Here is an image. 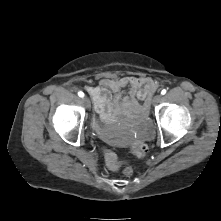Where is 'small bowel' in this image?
Returning a JSON list of instances; mask_svg holds the SVG:
<instances>
[{
	"label": "small bowel",
	"mask_w": 221,
	"mask_h": 221,
	"mask_svg": "<svg viewBox=\"0 0 221 221\" xmlns=\"http://www.w3.org/2000/svg\"><path fill=\"white\" fill-rule=\"evenodd\" d=\"M156 82L149 77L124 76L118 78H105L97 87H87L92 97L94 108L101 119L107 120L115 115L131 118L132 115L140 117L147 115V105L138 100L147 101L156 89ZM128 87V96L122 90Z\"/></svg>",
	"instance_id": "obj_1"
}]
</instances>
